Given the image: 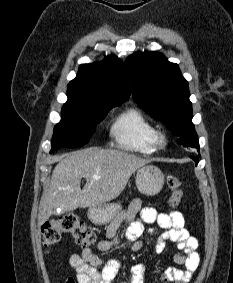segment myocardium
Here are the masks:
<instances>
[{
  "label": "myocardium",
  "instance_id": "obj_1",
  "mask_svg": "<svg viewBox=\"0 0 233 283\" xmlns=\"http://www.w3.org/2000/svg\"><path fill=\"white\" fill-rule=\"evenodd\" d=\"M167 137L165 133L161 131H157L154 137V144L157 149H163L167 145Z\"/></svg>",
  "mask_w": 233,
  "mask_h": 283
}]
</instances>
